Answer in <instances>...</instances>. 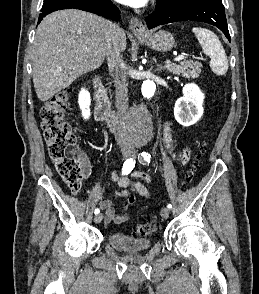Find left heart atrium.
Returning <instances> with one entry per match:
<instances>
[{
  "instance_id": "obj_1",
  "label": "left heart atrium",
  "mask_w": 259,
  "mask_h": 294,
  "mask_svg": "<svg viewBox=\"0 0 259 294\" xmlns=\"http://www.w3.org/2000/svg\"><path fill=\"white\" fill-rule=\"evenodd\" d=\"M117 2L134 8L144 7L148 0H116Z\"/></svg>"
}]
</instances>
